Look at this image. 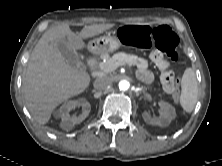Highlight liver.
Here are the masks:
<instances>
[{
  "instance_id": "1",
  "label": "liver",
  "mask_w": 222,
  "mask_h": 166,
  "mask_svg": "<svg viewBox=\"0 0 222 166\" xmlns=\"http://www.w3.org/2000/svg\"><path fill=\"white\" fill-rule=\"evenodd\" d=\"M113 26L111 23L92 24L84 26L76 35L67 23H61L42 35L30 55L23 77L26 106L39 124H46L58 105L84 92L91 80L87 72L65 62L56 42L67 39L72 50L82 49L83 39L97 36Z\"/></svg>"
}]
</instances>
